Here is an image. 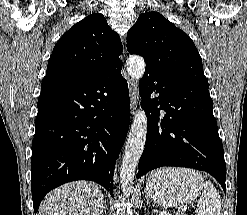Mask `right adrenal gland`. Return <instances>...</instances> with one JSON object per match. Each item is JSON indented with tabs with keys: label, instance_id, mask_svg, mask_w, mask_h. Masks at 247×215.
Returning <instances> with one entry per match:
<instances>
[{
	"label": "right adrenal gland",
	"instance_id": "2a0ac1e0",
	"mask_svg": "<svg viewBox=\"0 0 247 215\" xmlns=\"http://www.w3.org/2000/svg\"><path fill=\"white\" fill-rule=\"evenodd\" d=\"M106 209H107V206L105 205V206H104V211H105ZM102 215H103V214H102Z\"/></svg>",
	"mask_w": 247,
	"mask_h": 215
}]
</instances>
